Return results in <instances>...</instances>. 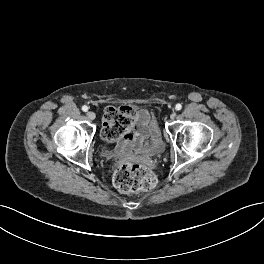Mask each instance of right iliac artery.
I'll return each instance as SVG.
<instances>
[{"mask_svg": "<svg viewBox=\"0 0 264 264\" xmlns=\"http://www.w3.org/2000/svg\"><path fill=\"white\" fill-rule=\"evenodd\" d=\"M82 110H83L84 112H87V111H88V107H87L86 105H84V106H82Z\"/></svg>", "mask_w": 264, "mask_h": 264, "instance_id": "right-iliac-artery-1", "label": "right iliac artery"}]
</instances>
